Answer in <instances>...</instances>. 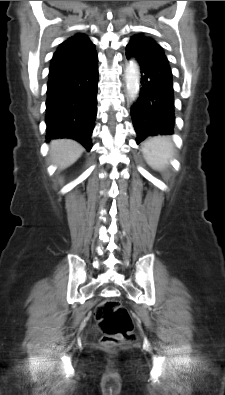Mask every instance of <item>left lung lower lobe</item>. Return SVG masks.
<instances>
[{
	"instance_id": "left-lung-lower-lobe-1",
	"label": "left lung lower lobe",
	"mask_w": 225,
	"mask_h": 395,
	"mask_svg": "<svg viewBox=\"0 0 225 395\" xmlns=\"http://www.w3.org/2000/svg\"><path fill=\"white\" fill-rule=\"evenodd\" d=\"M126 56L133 57L127 50ZM138 63L142 88L131 109L137 144L149 136L173 134L175 124L174 90L169 64Z\"/></svg>"
}]
</instances>
